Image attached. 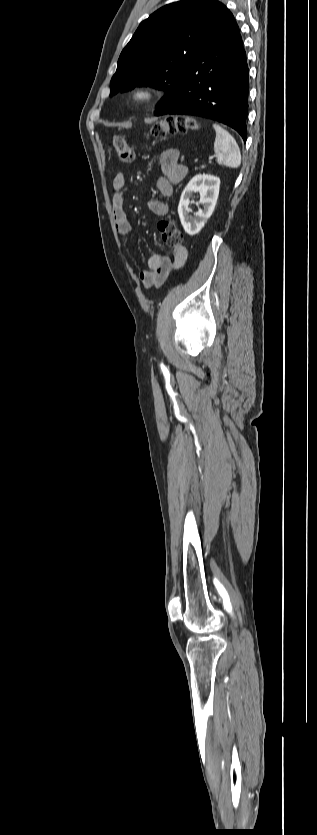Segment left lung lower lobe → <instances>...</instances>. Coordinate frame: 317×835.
<instances>
[{"mask_svg":"<svg viewBox=\"0 0 317 835\" xmlns=\"http://www.w3.org/2000/svg\"><path fill=\"white\" fill-rule=\"evenodd\" d=\"M249 69L239 27L228 10L197 58L188 66L176 101L155 111L201 116L235 129L247 139Z\"/></svg>","mask_w":317,"mask_h":835,"instance_id":"obj_1","label":"left lung lower lobe"}]
</instances>
